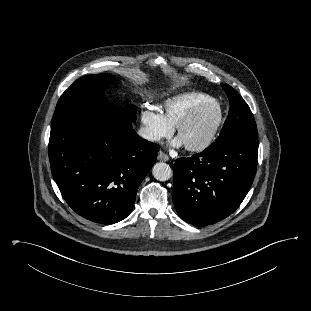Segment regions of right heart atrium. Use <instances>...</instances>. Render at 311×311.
<instances>
[{
  "label": "right heart atrium",
  "instance_id": "right-heart-atrium-1",
  "mask_svg": "<svg viewBox=\"0 0 311 311\" xmlns=\"http://www.w3.org/2000/svg\"><path fill=\"white\" fill-rule=\"evenodd\" d=\"M140 121L144 137L151 142H158L172 133V126L160 112L146 108L141 112Z\"/></svg>",
  "mask_w": 311,
  "mask_h": 311
}]
</instances>
